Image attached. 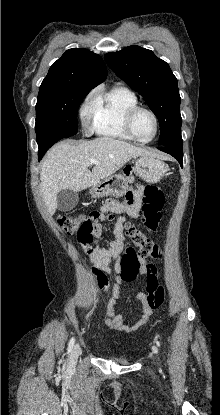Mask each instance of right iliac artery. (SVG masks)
Here are the masks:
<instances>
[{
    "label": "right iliac artery",
    "mask_w": 220,
    "mask_h": 415,
    "mask_svg": "<svg viewBox=\"0 0 220 415\" xmlns=\"http://www.w3.org/2000/svg\"><path fill=\"white\" fill-rule=\"evenodd\" d=\"M74 342H75V340H74V338L72 337V338L70 339V341H69V344H68V354L72 351V348H73V346H74Z\"/></svg>",
    "instance_id": "1"
}]
</instances>
